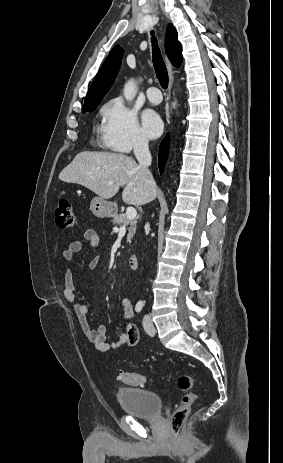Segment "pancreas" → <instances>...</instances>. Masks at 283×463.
Masks as SVG:
<instances>
[{
  "label": "pancreas",
  "mask_w": 283,
  "mask_h": 463,
  "mask_svg": "<svg viewBox=\"0 0 283 463\" xmlns=\"http://www.w3.org/2000/svg\"><path fill=\"white\" fill-rule=\"evenodd\" d=\"M112 223L114 225H119V226L129 225V228H128L129 232H128V235H127V242H130L131 238L134 236V234L136 232L137 220L136 219L129 220V219H127L125 214L121 213V214H114L113 215Z\"/></svg>",
  "instance_id": "cf45deb5"
}]
</instances>
